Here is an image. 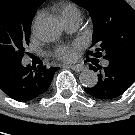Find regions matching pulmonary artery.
Segmentation results:
<instances>
[{
	"label": "pulmonary artery",
	"mask_w": 135,
	"mask_h": 135,
	"mask_svg": "<svg viewBox=\"0 0 135 135\" xmlns=\"http://www.w3.org/2000/svg\"><path fill=\"white\" fill-rule=\"evenodd\" d=\"M63 25L65 27V29L69 32H73L75 31L78 26H79V22H80V18L78 17H71V18H67L62 20ZM109 64L108 60H104L103 61V65L107 66Z\"/></svg>",
	"instance_id": "pulmonary-artery-1"
}]
</instances>
